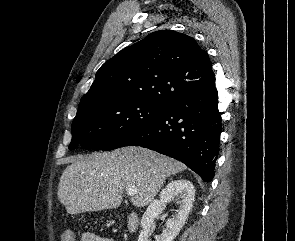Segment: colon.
Listing matches in <instances>:
<instances>
[{"label": "colon", "mask_w": 295, "mask_h": 241, "mask_svg": "<svg viewBox=\"0 0 295 241\" xmlns=\"http://www.w3.org/2000/svg\"><path fill=\"white\" fill-rule=\"evenodd\" d=\"M62 241H75L74 233L71 230H66L62 234Z\"/></svg>", "instance_id": "1"}]
</instances>
